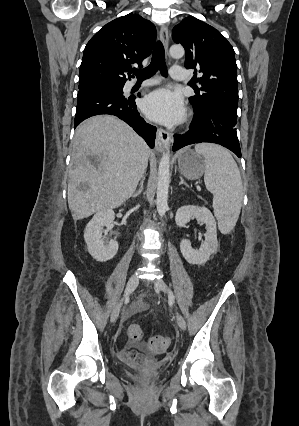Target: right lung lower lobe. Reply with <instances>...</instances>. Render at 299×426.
<instances>
[{"label":"right lung lower lobe","mask_w":299,"mask_h":426,"mask_svg":"<svg viewBox=\"0 0 299 426\" xmlns=\"http://www.w3.org/2000/svg\"><path fill=\"white\" fill-rule=\"evenodd\" d=\"M140 97V95H138ZM135 96L125 97L122 92L110 89L84 87L77 95L74 128L83 120L100 114L119 117L142 136L150 148L154 147L156 127L146 123L139 115Z\"/></svg>","instance_id":"right-lung-lower-lobe-1"}]
</instances>
